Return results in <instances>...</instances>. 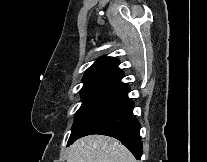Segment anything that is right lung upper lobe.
<instances>
[{
    "instance_id": "right-lung-upper-lobe-1",
    "label": "right lung upper lobe",
    "mask_w": 207,
    "mask_h": 162,
    "mask_svg": "<svg viewBox=\"0 0 207 162\" xmlns=\"http://www.w3.org/2000/svg\"><path fill=\"white\" fill-rule=\"evenodd\" d=\"M118 65L119 61L113 57H103L97 60L86 70L83 88L110 87L116 89L122 86L124 84L121 82L123 72Z\"/></svg>"
}]
</instances>
